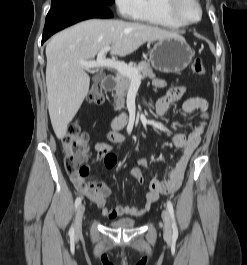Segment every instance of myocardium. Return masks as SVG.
Returning a JSON list of instances; mask_svg holds the SVG:
<instances>
[{
	"mask_svg": "<svg viewBox=\"0 0 247 265\" xmlns=\"http://www.w3.org/2000/svg\"><path fill=\"white\" fill-rule=\"evenodd\" d=\"M186 0H166L165 7L170 16L182 26L193 25L201 21L203 9L199 0H190L198 9V17L194 20L186 19L181 11V7Z\"/></svg>",
	"mask_w": 247,
	"mask_h": 265,
	"instance_id": "1",
	"label": "myocardium"
}]
</instances>
